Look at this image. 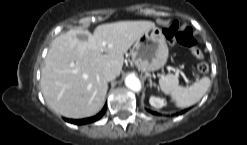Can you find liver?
Instances as JSON below:
<instances>
[{
    "label": "liver",
    "mask_w": 247,
    "mask_h": 145,
    "mask_svg": "<svg viewBox=\"0 0 247 145\" xmlns=\"http://www.w3.org/2000/svg\"><path fill=\"white\" fill-rule=\"evenodd\" d=\"M151 21H120L102 24L91 34L71 29L52 41L40 80L48 106L69 118L96 114L108 89L102 72L109 68L119 76L124 53L146 31Z\"/></svg>",
    "instance_id": "obj_1"
}]
</instances>
